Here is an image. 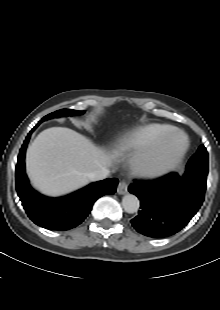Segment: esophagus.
<instances>
[{"label":"esophagus","mask_w":220,"mask_h":310,"mask_svg":"<svg viewBox=\"0 0 220 310\" xmlns=\"http://www.w3.org/2000/svg\"><path fill=\"white\" fill-rule=\"evenodd\" d=\"M128 191V185L125 181H120L117 187V193L120 195L126 194Z\"/></svg>","instance_id":"esophagus-1"}]
</instances>
